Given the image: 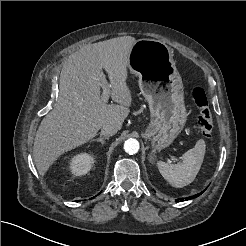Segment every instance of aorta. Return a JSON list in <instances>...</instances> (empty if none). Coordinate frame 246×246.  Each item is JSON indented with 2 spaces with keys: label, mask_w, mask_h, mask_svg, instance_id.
<instances>
[{
  "label": "aorta",
  "mask_w": 246,
  "mask_h": 246,
  "mask_svg": "<svg viewBox=\"0 0 246 246\" xmlns=\"http://www.w3.org/2000/svg\"><path fill=\"white\" fill-rule=\"evenodd\" d=\"M140 145L136 139L129 138L124 143V150L126 153L133 155L139 151Z\"/></svg>",
  "instance_id": "obj_1"
}]
</instances>
